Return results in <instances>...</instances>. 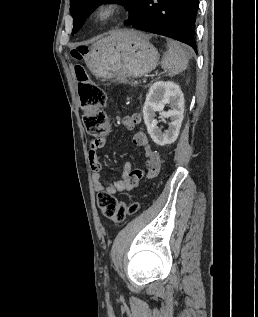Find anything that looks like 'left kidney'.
<instances>
[{"label":"left kidney","mask_w":258,"mask_h":317,"mask_svg":"<svg viewBox=\"0 0 258 317\" xmlns=\"http://www.w3.org/2000/svg\"><path fill=\"white\" fill-rule=\"evenodd\" d=\"M165 104H169L172 110H163ZM156 110H159L160 118H171V124L168 126V130L162 132L161 128L157 126V122L154 118ZM184 112V94L176 82L171 80H157L150 86L146 100L143 106V118L147 126V130L154 142L164 146V144H171L176 140L180 126L183 120Z\"/></svg>","instance_id":"5707ae66"}]
</instances>
